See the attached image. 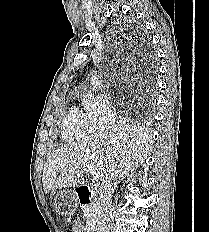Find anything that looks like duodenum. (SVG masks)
<instances>
[{
	"instance_id": "410a0bca",
	"label": "duodenum",
	"mask_w": 209,
	"mask_h": 232,
	"mask_svg": "<svg viewBox=\"0 0 209 232\" xmlns=\"http://www.w3.org/2000/svg\"><path fill=\"white\" fill-rule=\"evenodd\" d=\"M79 203L84 206L92 200V189L89 186L81 185L76 188ZM88 232H96L95 227H90Z\"/></svg>"
}]
</instances>
